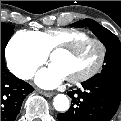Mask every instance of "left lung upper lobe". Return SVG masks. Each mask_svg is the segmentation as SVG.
<instances>
[{"label":"left lung upper lobe","mask_w":121,"mask_h":121,"mask_svg":"<svg viewBox=\"0 0 121 121\" xmlns=\"http://www.w3.org/2000/svg\"><path fill=\"white\" fill-rule=\"evenodd\" d=\"M74 27H89L90 30L104 43L107 53L105 65L100 74L93 78L106 77L121 82V43L108 29L99 25L92 19H84L73 24Z\"/></svg>","instance_id":"5c2ea615"}]
</instances>
